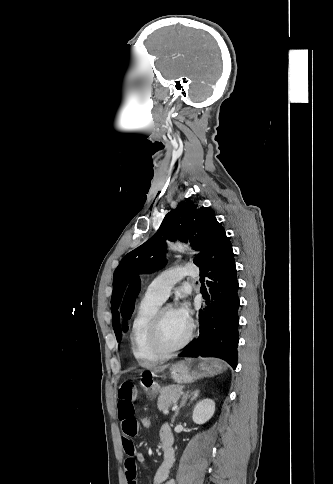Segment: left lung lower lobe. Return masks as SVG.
<instances>
[{
	"label": "left lung lower lobe",
	"instance_id": "0a47b994",
	"mask_svg": "<svg viewBox=\"0 0 333 484\" xmlns=\"http://www.w3.org/2000/svg\"><path fill=\"white\" fill-rule=\"evenodd\" d=\"M195 264L200 267L201 292L207 307L204 312L199 311L203 326L200 337L179 356L219 357L235 369L239 341L238 281L231 242L216 218L209 223L204 247Z\"/></svg>",
	"mask_w": 333,
	"mask_h": 484
}]
</instances>
